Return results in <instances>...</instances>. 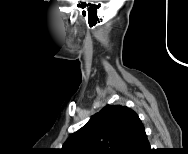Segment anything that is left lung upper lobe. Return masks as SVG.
<instances>
[{
    "instance_id": "5c2ea615",
    "label": "left lung upper lobe",
    "mask_w": 188,
    "mask_h": 154,
    "mask_svg": "<svg viewBox=\"0 0 188 154\" xmlns=\"http://www.w3.org/2000/svg\"><path fill=\"white\" fill-rule=\"evenodd\" d=\"M135 112L122 105H107L63 144L67 154H124Z\"/></svg>"
}]
</instances>
